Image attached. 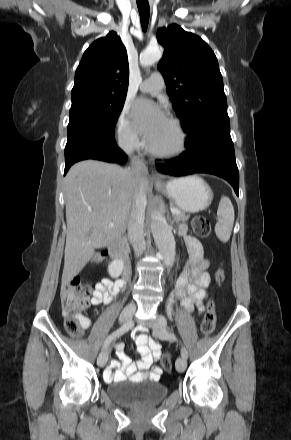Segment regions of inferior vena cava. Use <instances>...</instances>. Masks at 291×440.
<instances>
[{"instance_id":"inferior-vena-cava-1","label":"inferior vena cava","mask_w":291,"mask_h":440,"mask_svg":"<svg viewBox=\"0 0 291 440\" xmlns=\"http://www.w3.org/2000/svg\"><path fill=\"white\" fill-rule=\"evenodd\" d=\"M131 170L140 180L148 174V169L144 162L137 158L132 159ZM145 207L146 196L143 187L140 186L136 193L128 222V237L137 256L141 255L145 250V239L143 236Z\"/></svg>"}]
</instances>
